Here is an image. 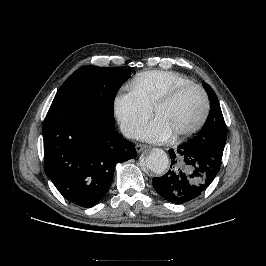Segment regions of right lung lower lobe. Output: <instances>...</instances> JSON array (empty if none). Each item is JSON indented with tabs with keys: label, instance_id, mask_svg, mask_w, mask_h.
Returning a JSON list of instances; mask_svg holds the SVG:
<instances>
[{
	"label": "right lung lower lobe",
	"instance_id": "obj_1",
	"mask_svg": "<svg viewBox=\"0 0 266 266\" xmlns=\"http://www.w3.org/2000/svg\"><path fill=\"white\" fill-rule=\"evenodd\" d=\"M101 111L51 105L43 126L44 170L68 201L90 208L109 189L117 163L137 156L135 145Z\"/></svg>",
	"mask_w": 266,
	"mask_h": 266
}]
</instances>
